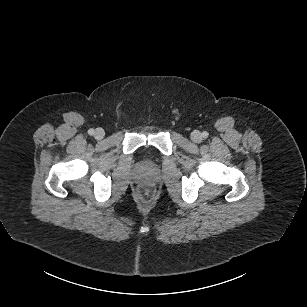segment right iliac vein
Segmentation results:
<instances>
[{
  "instance_id": "obj_1",
  "label": "right iliac vein",
  "mask_w": 307,
  "mask_h": 307,
  "mask_svg": "<svg viewBox=\"0 0 307 307\" xmlns=\"http://www.w3.org/2000/svg\"><path fill=\"white\" fill-rule=\"evenodd\" d=\"M105 135V132L102 128H97L95 133H94V137L98 140H101Z\"/></svg>"
}]
</instances>
